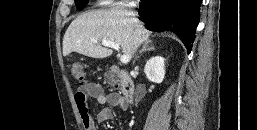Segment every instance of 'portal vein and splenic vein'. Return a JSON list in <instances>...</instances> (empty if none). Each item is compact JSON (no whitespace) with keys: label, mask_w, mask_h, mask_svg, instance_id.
<instances>
[{"label":"portal vein and splenic vein","mask_w":257,"mask_h":130,"mask_svg":"<svg viewBox=\"0 0 257 130\" xmlns=\"http://www.w3.org/2000/svg\"><path fill=\"white\" fill-rule=\"evenodd\" d=\"M101 44L105 47H110L117 51L120 49L119 45L113 41L102 40ZM120 61L126 64L130 61V57L128 55H122L120 56Z\"/></svg>","instance_id":"portal-vein-and-splenic-vein-1"}]
</instances>
